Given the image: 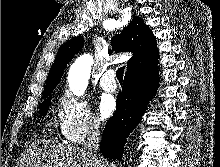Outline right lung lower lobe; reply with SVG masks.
<instances>
[{"label": "right lung lower lobe", "instance_id": "1", "mask_svg": "<svg viewBox=\"0 0 220 167\" xmlns=\"http://www.w3.org/2000/svg\"><path fill=\"white\" fill-rule=\"evenodd\" d=\"M158 83L157 64L146 65L125 74L124 86L117 96L116 112L105 126L100 145L106 158L122 159L126 139L140 122Z\"/></svg>", "mask_w": 220, "mask_h": 167}]
</instances>
